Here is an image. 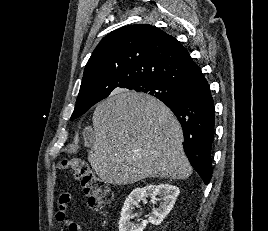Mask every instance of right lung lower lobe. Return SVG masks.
<instances>
[{
	"instance_id": "1",
	"label": "right lung lower lobe",
	"mask_w": 268,
	"mask_h": 231,
	"mask_svg": "<svg viewBox=\"0 0 268 231\" xmlns=\"http://www.w3.org/2000/svg\"><path fill=\"white\" fill-rule=\"evenodd\" d=\"M180 95L161 100L175 114L184 133V151L205 184L212 177V144L214 141V104L207 80L180 88Z\"/></svg>"
}]
</instances>
